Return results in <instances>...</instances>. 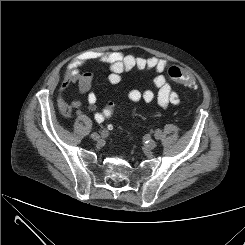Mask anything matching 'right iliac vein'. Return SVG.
<instances>
[{"label":"right iliac vein","mask_w":245,"mask_h":245,"mask_svg":"<svg viewBox=\"0 0 245 245\" xmlns=\"http://www.w3.org/2000/svg\"><path fill=\"white\" fill-rule=\"evenodd\" d=\"M91 138L95 141L99 140L100 139V136L97 134V133H92L91 134Z\"/></svg>","instance_id":"63e3f726"}]
</instances>
